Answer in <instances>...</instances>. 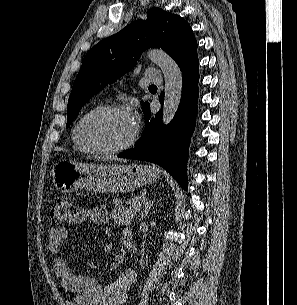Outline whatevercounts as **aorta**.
I'll return each instance as SVG.
<instances>
[{
  "mask_svg": "<svg viewBox=\"0 0 297 305\" xmlns=\"http://www.w3.org/2000/svg\"><path fill=\"white\" fill-rule=\"evenodd\" d=\"M146 57L160 68L165 79L163 122L167 125L180 103L183 75L177 63L163 50L151 49L146 52Z\"/></svg>",
  "mask_w": 297,
  "mask_h": 305,
  "instance_id": "762f6f07",
  "label": "aorta"
}]
</instances>
